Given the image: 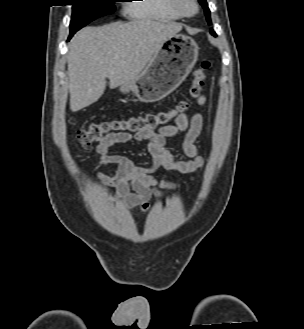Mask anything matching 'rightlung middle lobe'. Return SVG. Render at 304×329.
I'll list each match as a JSON object with an SVG mask.
<instances>
[{
    "mask_svg": "<svg viewBox=\"0 0 304 329\" xmlns=\"http://www.w3.org/2000/svg\"><path fill=\"white\" fill-rule=\"evenodd\" d=\"M73 13L70 23V36L93 21L94 19L111 14L115 10L117 0H71Z\"/></svg>",
    "mask_w": 304,
    "mask_h": 329,
    "instance_id": "right-lung-middle-lobe-1",
    "label": "right lung middle lobe"
}]
</instances>
